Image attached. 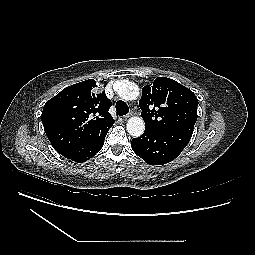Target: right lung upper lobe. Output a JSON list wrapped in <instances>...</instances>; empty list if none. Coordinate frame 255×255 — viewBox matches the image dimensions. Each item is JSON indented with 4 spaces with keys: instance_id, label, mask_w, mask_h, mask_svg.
Returning a JSON list of instances; mask_svg holds the SVG:
<instances>
[{
    "instance_id": "obj_1",
    "label": "right lung upper lobe",
    "mask_w": 255,
    "mask_h": 255,
    "mask_svg": "<svg viewBox=\"0 0 255 255\" xmlns=\"http://www.w3.org/2000/svg\"><path fill=\"white\" fill-rule=\"evenodd\" d=\"M89 79L64 88L44 105L41 120L54 149L62 156L96 131L109 129L114 119L105 92L95 94Z\"/></svg>"
}]
</instances>
